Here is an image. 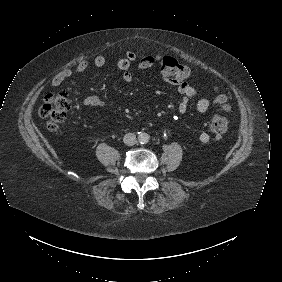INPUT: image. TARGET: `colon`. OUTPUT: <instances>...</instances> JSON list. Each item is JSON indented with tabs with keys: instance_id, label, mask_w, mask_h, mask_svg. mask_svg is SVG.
<instances>
[{
	"instance_id": "obj_1",
	"label": "colon",
	"mask_w": 282,
	"mask_h": 282,
	"mask_svg": "<svg viewBox=\"0 0 282 282\" xmlns=\"http://www.w3.org/2000/svg\"><path fill=\"white\" fill-rule=\"evenodd\" d=\"M162 74L170 81L180 84L190 76V70L174 58L165 56L159 59ZM217 104L222 108H228L229 104L222 95L216 96ZM72 107L71 100L63 92L46 95L43 104L39 108L40 116L46 120L50 130L55 131L63 123L67 111ZM228 130V121L222 116H214L211 121V132L217 136L225 134Z\"/></svg>"
}]
</instances>
